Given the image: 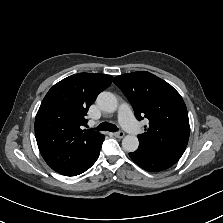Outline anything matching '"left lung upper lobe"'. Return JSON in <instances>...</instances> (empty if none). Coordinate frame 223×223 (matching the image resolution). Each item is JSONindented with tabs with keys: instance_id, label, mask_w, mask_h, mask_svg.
<instances>
[{
	"instance_id": "1",
	"label": "left lung upper lobe",
	"mask_w": 223,
	"mask_h": 223,
	"mask_svg": "<svg viewBox=\"0 0 223 223\" xmlns=\"http://www.w3.org/2000/svg\"><path fill=\"white\" fill-rule=\"evenodd\" d=\"M114 83L128 98L136 118L149 120L146 132L138 135V149L179 160L190 134L187 108L180 94L146 71L116 76Z\"/></svg>"
}]
</instances>
